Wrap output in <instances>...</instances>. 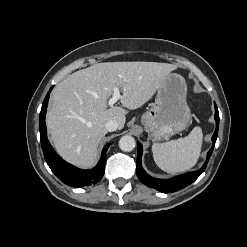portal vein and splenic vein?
<instances>
[{"mask_svg":"<svg viewBox=\"0 0 247 247\" xmlns=\"http://www.w3.org/2000/svg\"><path fill=\"white\" fill-rule=\"evenodd\" d=\"M119 88L114 87L113 96L109 99L108 105L113 106L119 99H121Z\"/></svg>","mask_w":247,"mask_h":247,"instance_id":"obj_1","label":"portal vein and splenic vein"}]
</instances>
